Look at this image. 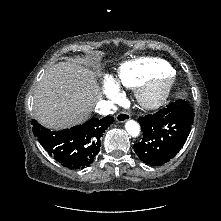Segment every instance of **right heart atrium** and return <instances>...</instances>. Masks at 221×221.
<instances>
[{
    "mask_svg": "<svg viewBox=\"0 0 221 221\" xmlns=\"http://www.w3.org/2000/svg\"><path fill=\"white\" fill-rule=\"evenodd\" d=\"M104 91L106 96L112 101H116L120 95V89L117 83L111 79L106 78L104 82Z\"/></svg>",
    "mask_w": 221,
    "mask_h": 221,
    "instance_id": "right-heart-atrium-1",
    "label": "right heart atrium"
}]
</instances>
